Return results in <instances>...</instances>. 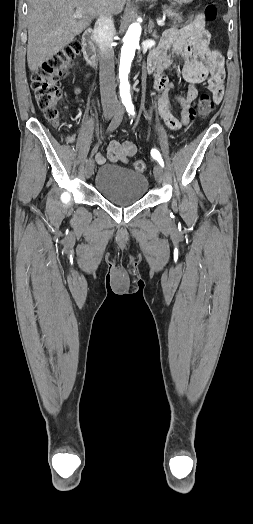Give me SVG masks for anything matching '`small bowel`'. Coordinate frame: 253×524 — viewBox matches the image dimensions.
<instances>
[{"instance_id":"c3829d8e","label":"small bowel","mask_w":253,"mask_h":524,"mask_svg":"<svg viewBox=\"0 0 253 524\" xmlns=\"http://www.w3.org/2000/svg\"><path fill=\"white\" fill-rule=\"evenodd\" d=\"M210 33L205 28L203 15L194 18L180 28H169L161 36L158 46L152 50L147 65L153 66L155 103L160 118L171 130H181L195 119L194 101L198 97L197 85L208 81V88L216 102L223 96L225 78L224 61L220 52L210 47ZM177 65L180 77L189 84L186 96L178 95L171 100L165 70ZM81 94V93H80ZM77 94V97L80 96ZM181 110V117L173 115L174 106ZM137 153V146L129 141H110L107 157L96 154V162L104 164L128 162Z\"/></svg>"}]
</instances>
